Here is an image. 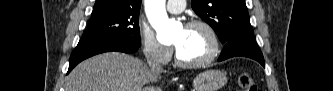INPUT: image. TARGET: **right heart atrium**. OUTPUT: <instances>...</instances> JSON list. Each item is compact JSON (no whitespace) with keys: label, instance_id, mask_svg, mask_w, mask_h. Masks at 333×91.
Wrapping results in <instances>:
<instances>
[{"label":"right heart atrium","instance_id":"1","mask_svg":"<svg viewBox=\"0 0 333 91\" xmlns=\"http://www.w3.org/2000/svg\"><path fill=\"white\" fill-rule=\"evenodd\" d=\"M139 40L145 57L154 63L166 64L172 56V48L162 44L153 31L141 23L139 26Z\"/></svg>","mask_w":333,"mask_h":91}]
</instances>
